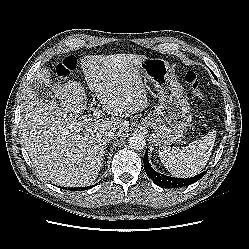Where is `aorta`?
Wrapping results in <instances>:
<instances>
[{"label":"aorta","instance_id":"obj_1","mask_svg":"<svg viewBox=\"0 0 249 249\" xmlns=\"http://www.w3.org/2000/svg\"><path fill=\"white\" fill-rule=\"evenodd\" d=\"M128 143L132 149L142 150L146 145V140L142 134L134 133L129 137Z\"/></svg>","mask_w":249,"mask_h":249}]
</instances>
